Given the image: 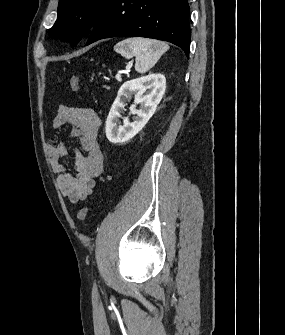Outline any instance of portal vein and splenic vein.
<instances>
[{
	"label": "portal vein and splenic vein",
	"instance_id": "1",
	"mask_svg": "<svg viewBox=\"0 0 285 335\" xmlns=\"http://www.w3.org/2000/svg\"><path fill=\"white\" fill-rule=\"evenodd\" d=\"M116 80H118V82H119V80H121V74H117Z\"/></svg>",
	"mask_w": 285,
	"mask_h": 335
}]
</instances>
